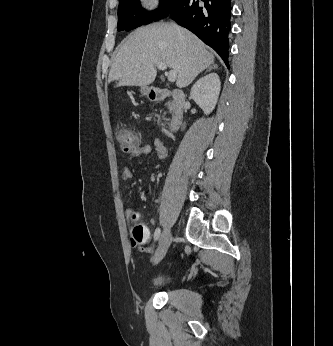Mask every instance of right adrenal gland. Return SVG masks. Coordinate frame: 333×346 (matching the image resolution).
Segmentation results:
<instances>
[{
  "label": "right adrenal gland",
  "instance_id": "1",
  "mask_svg": "<svg viewBox=\"0 0 333 346\" xmlns=\"http://www.w3.org/2000/svg\"><path fill=\"white\" fill-rule=\"evenodd\" d=\"M216 68H217V65H214V64H213L212 66H210V67L206 70V72H207V71H210V70H212V69H216Z\"/></svg>",
  "mask_w": 333,
  "mask_h": 346
}]
</instances>
